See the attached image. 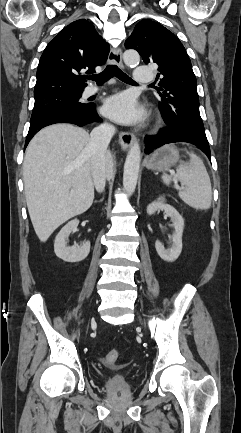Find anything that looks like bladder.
Returning a JSON list of instances; mask_svg holds the SVG:
<instances>
[{
	"label": "bladder",
	"mask_w": 241,
	"mask_h": 433,
	"mask_svg": "<svg viewBox=\"0 0 241 433\" xmlns=\"http://www.w3.org/2000/svg\"><path fill=\"white\" fill-rule=\"evenodd\" d=\"M105 384L113 389H126L131 384V377L125 373H115L105 380Z\"/></svg>",
	"instance_id": "bladder-1"
}]
</instances>
